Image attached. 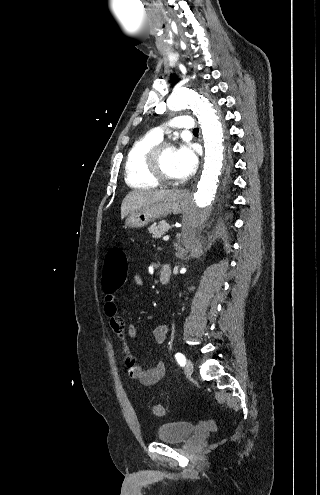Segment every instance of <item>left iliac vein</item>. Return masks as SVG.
Wrapping results in <instances>:
<instances>
[{
    "instance_id": "left-iliac-vein-1",
    "label": "left iliac vein",
    "mask_w": 320,
    "mask_h": 495,
    "mask_svg": "<svg viewBox=\"0 0 320 495\" xmlns=\"http://www.w3.org/2000/svg\"><path fill=\"white\" fill-rule=\"evenodd\" d=\"M185 374L186 375H192L193 373V363L191 360H187L185 368H184Z\"/></svg>"
}]
</instances>
